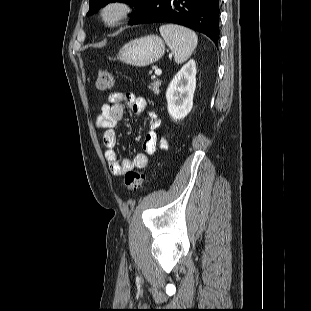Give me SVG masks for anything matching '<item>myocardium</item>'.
<instances>
[{
    "mask_svg": "<svg viewBox=\"0 0 311 311\" xmlns=\"http://www.w3.org/2000/svg\"><path fill=\"white\" fill-rule=\"evenodd\" d=\"M132 12L131 5L126 1L113 0L106 3L100 10L102 22L108 27H116L125 21Z\"/></svg>",
    "mask_w": 311,
    "mask_h": 311,
    "instance_id": "f54148a6",
    "label": "myocardium"
}]
</instances>
